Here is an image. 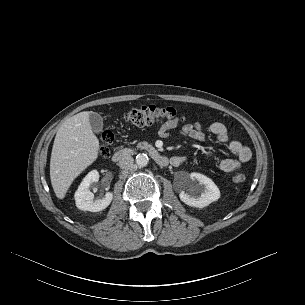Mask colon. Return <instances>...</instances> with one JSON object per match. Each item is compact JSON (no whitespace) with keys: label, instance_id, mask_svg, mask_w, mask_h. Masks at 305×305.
I'll use <instances>...</instances> for the list:
<instances>
[{"label":"colon","instance_id":"1","mask_svg":"<svg viewBox=\"0 0 305 305\" xmlns=\"http://www.w3.org/2000/svg\"><path fill=\"white\" fill-rule=\"evenodd\" d=\"M120 119L138 127H146L158 122H171L181 120L173 108H161L153 105L133 107L120 115ZM113 141V134L110 130L105 129L101 134V143L98 154L101 158H105L109 154V146ZM246 176L238 173L233 177V181L237 184L243 183Z\"/></svg>","mask_w":305,"mask_h":305}]
</instances>
